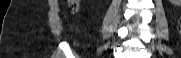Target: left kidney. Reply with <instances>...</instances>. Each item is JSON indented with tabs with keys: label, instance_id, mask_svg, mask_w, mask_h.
Segmentation results:
<instances>
[{
	"label": "left kidney",
	"instance_id": "1",
	"mask_svg": "<svg viewBox=\"0 0 181 58\" xmlns=\"http://www.w3.org/2000/svg\"><path fill=\"white\" fill-rule=\"evenodd\" d=\"M171 4L174 6H180L181 5V0H169Z\"/></svg>",
	"mask_w": 181,
	"mask_h": 58
}]
</instances>
